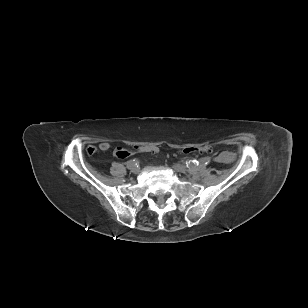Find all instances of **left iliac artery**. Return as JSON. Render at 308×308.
<instances>
[{
	"label": "left iliac artery",
	"mask_w": 308,
	"mask_h": 308,
	"mask_svg": "<svg viewBox=\"0 0 308 308\" xmlns=\"http://www.w3.org/2000/svg\"><path fill=\"white\" fill-rule=\"evenodd\" d=\"M211 163H212V160L210 158H206L205 156H202L201 158H198L197 160L189 161L190 166L202 165L203 167H208Z\"/></svg>",
	"instance_id": "left-iliac-artery-1"
}]
</instances>
